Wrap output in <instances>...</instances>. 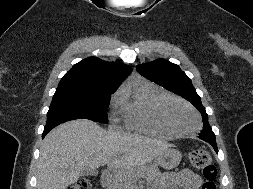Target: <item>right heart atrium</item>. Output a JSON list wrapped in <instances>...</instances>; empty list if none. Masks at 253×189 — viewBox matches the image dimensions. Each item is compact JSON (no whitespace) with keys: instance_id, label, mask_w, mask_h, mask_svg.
I'll list each match as a JSON object with an SVG mask.
<instances>
[{"instance_id":"1","label":"right heart atrium","mask_w":253,"mask_h":189,"mask_svg":"<svg viewBox=\"0 0 253 189\" xmlns=\"http://www.w3.org/2000/svg\"><path fill=\"white\" fill-rule=\"evenodd\" d=\"M124 111L123 91H117L110 102V116L113 122H119Z\"/></svg>"}]
</instances>
